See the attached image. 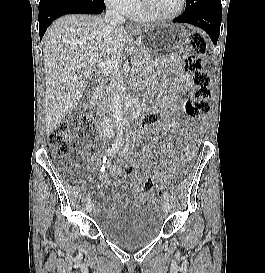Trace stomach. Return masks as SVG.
I'll return each mask as SVG.
<instances>
[{"label": "stomach", "instance_id": "1", "mask_svg": "<svg viewBox=\"0 0 265 273\" xmlns=\"http://www.w3.org/2000/svg\"><path fill=\"white\" fill-rule=\"evenodd\" d=\"M192 25H155L145 28L136 36L137 44H128V49H144L142 55H136L139 64L145 69H158V64H173L172 56H176L178 40H183Z\"/></svg>", "mask_w": 265, "mask_h": 273}]
</instances>
